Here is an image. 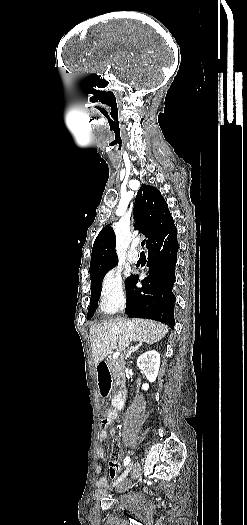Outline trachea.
<instances>
[{
  "label": "trachea",
  "mask_w": 247,
  "mask_h": 525,
  "mask_svg": "<svg viewBox=\"0 0 247 525\" xmlns=\"http://www.w3.org/2000/svg\"><path fill=\"white\" fill-rule=\"evenodd\" d=\"M146 241L145 240H142L141 242V246L143 247L145 245Z\"/></svg>",
  "instance_id": "3493384b"
}]
</instances>
